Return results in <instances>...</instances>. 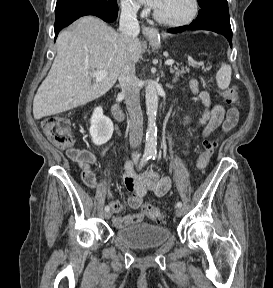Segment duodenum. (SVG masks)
<instances>
[{"mask_svg":"<svg viewBox=\"0 0 273 288\" xmlns=\"http://www.w3.org/2000/svg\"><path fill=\"white\" fill-rule=\"evenodd\" d=\"M112 114L118 120H124L125 119V114L121 111V109L117 103H114L112 105Z\"/></svg>","mask_w":273,"mask_h":288,"instance_id":"obj_1","label":"duodenum"}]
</instances>
